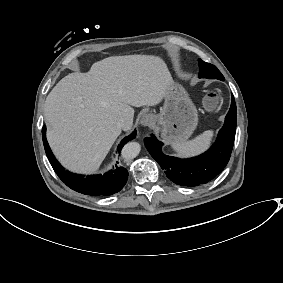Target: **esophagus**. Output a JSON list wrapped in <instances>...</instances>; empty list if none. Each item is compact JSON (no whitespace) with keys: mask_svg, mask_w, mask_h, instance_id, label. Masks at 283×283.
<instances>
[{"mask_svg":"<svg viewBox=\"0 0 283 283\" xmlns=\"http://www.w3.org/2000/svg\"><path fill=\"white\" fill-rule=\"evenodd\" d=\"M141 124L144 126L152 127L155 125V118L150 114H146L142 117Z\"/></svg>","mask_w":283,"mask_h":283,"instance_id":"1","label":"esophagus"}]
</instances>
